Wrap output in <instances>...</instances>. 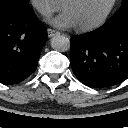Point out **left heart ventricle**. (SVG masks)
Masks as SVG:
<instances>
[{
    "label": "left heart ventricle",
    "instance_id": "obj_1",
    "mask_svg": "<svg viewBox=\"0 0 128 128\" xmlns=\"http://www.w3.org/2000/svg\"><path fill=\"white\" fill-rule=\"evenodd\" d=\"M111 0H74L65 10L74 18L76 25H86L97 20Z\"/></svg>",
    "mask_w": 128,
    "mask_h": 128
}]
</instances>
